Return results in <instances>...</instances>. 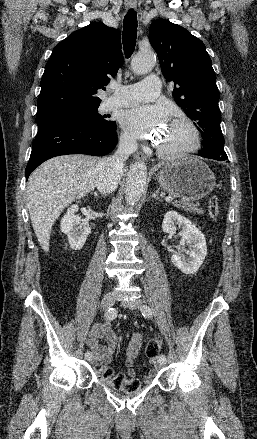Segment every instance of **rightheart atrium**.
Masks as SVG:
<instances>
[{
	"label": "right heart atrium",
	"mask_w": 257,
	"mask_h": 439,
	"mask_svg": "<svg viewBox=\"0 0 257 439\" xmlns=\"http://www.w3.org/2000/svg\"><path fill=\"white\" fill-rule=\"evenodd\" d=\"M121 144L124 149L130 151L134 148V139L127 133H123L120 138Z\"/></svg>",
	"instance_id": "right-heart-atrium-1"
}]
</instances>
